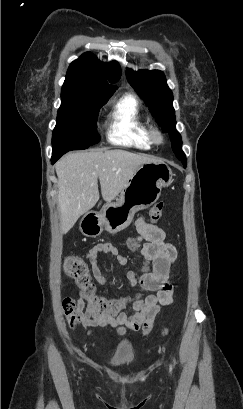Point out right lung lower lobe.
Masks as SVG:
<instances>
[{
	"instance_id": "right-lung-lower-lobe-1",
	"label": "right lung lower lobe",
	"mask_w": 243,
	"mask_h": 409,
	"mask_svg": "<svg viewBox=\"0 0 243 409\" xmlns=\"http://www.w3.org/2000/svg\"><path fill=\"white\" fill-rule=\"evenodd\" d=\"M63 154L65 153L64 152L53 153L52 158H51L52 164H54Z\"/></svg>"
}]
</instances>
